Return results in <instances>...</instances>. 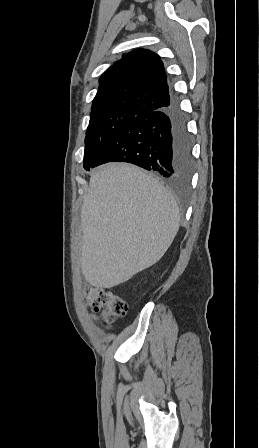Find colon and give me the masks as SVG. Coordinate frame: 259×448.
Listing matches in <instances>:
<instances>
[{
  "mask_svg": "<svg viewBox=\"0 0 259 448\" xmlns=\"http://www.w3.org/2000/svg\"><path fill=\"white\" fill-rule=\"evenodd\" d=\"M88 307L95 318L111 325L117 318L127 313V303L113 292L102 288H87L85 291Z\"/></svg>",
  "mask_w": 259,
  "mask_h": 448,
  "instance_id": "colon-1",
  "label": "colon"
}]
</instances>
